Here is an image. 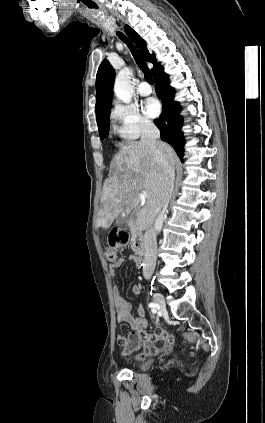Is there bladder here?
I'll return each instance as SVG.
<instances>
[{
  "mask_svg": "<svg viewBox=\"0 0 265 423\" xmlns=\"http://www.w3.org/2000/svg\"><path fill=\"white\" fill-rule=\"evenodd\" d=\"M153 361L152 360H143L139 363L138 367L140 369H147L152 365Z\"/></svg>",
  "mask_w": 265,
  "mask_h": 423,
  "instance_id": "31cf9c89",
  "label": "bladder"
}]
</instances>
